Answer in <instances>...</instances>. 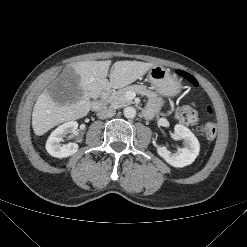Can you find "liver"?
<instances>
[{
	"mask_svg": "<svg viewBox=\"0 0 247 247\" xmlns=\"http://www.w3.org/2000/svg\"><path fill=\"white\" fill-rule=\"evenodd\" d=\"M110 65V60L81 61L68 65L62 75L76 89L75 98L70 100L67 96L69 93L53 94V98L48 90H44L37 98L32 112L34 133L41 136L56 125L86 116L91 107L90 98H98L110 88L125 87L155 66L140 61H117L110 69L108 80L106 77Z\"/></svg>",
	"mask_w": 247,
	"mask_h": 247,
	"instance_id": "obj_1",
	"label": "liver"
}]
</instances>
